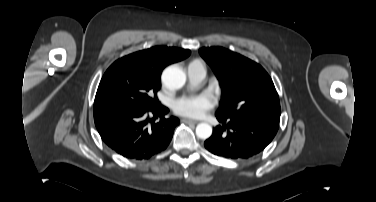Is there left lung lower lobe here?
Wrapping results in <instances>:
<instances>
[{
    "label": "left lung lower lobe",
    "mask_w": 376,
    "mask_h": 202,
    "mask_svg": "<svg viewBox=\"0 0 376 202\" xmlns=\"http://www.w3.org/2000/svg\"><path fill=\"white\" fill-rule=\"evenodd\" d=\"M204 143L211 153L230 159H247L262 152L275 137L279 125L258 118H224Z\"/></svg>",
    "instance_id": "0a47b994"
}]
</instances>
